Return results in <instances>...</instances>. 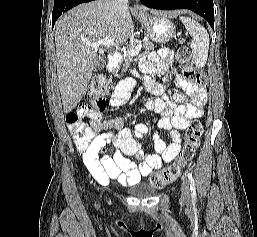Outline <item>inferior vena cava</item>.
Here are the masks:
<instances>
[{"instance_id": "1", "label": "inferior vena cava", "mask_w": 257, "mask_h": 237, "mask_svg": "<svg viewBox=\"0 0 257 237\" xmlns=\"http://www.w3.org/2000/svg\"><path fill=\"white\" fill-rule=\"evenodd\" d=\"M116 3L121 7H128V0H116Z\"/></svg>"}]
</instances>
